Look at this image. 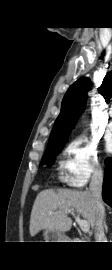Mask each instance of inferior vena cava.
Here are the masks:
<instances>
[{
    "label": "inferior vena cava",
    "mask_w": 112,
    "mask_h": 270,
    "mask_svg": "<svg viewBox=\"0 0 112 270\" xmlns=\"http://www.w3.org/2000/svg\"><path fill=\"white\" fill-rule=\"evenodd\" d=\"M102 184H103V170L100 166H98L93 172L89 188L96 210V221H95L96 242H107L103 225L105 209L102 201Z\"/></svg>",
    "instance_id": "inferior-vena-cava-1"
}]
</instances>
